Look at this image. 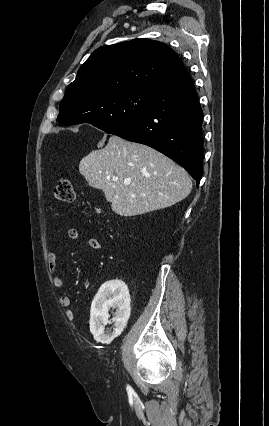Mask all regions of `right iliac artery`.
Wrapping results in <instances>:
<instances>
[{"label": "right iliac artery", "instance_id": "1", "mask_svg": "<svg viewBox=\"0 0 269 426\" xmlns=\"http://www.w3.org/2000/svg\"><path fill=\"white\" fill-rule=\"evenodd\" d=\"M127 391H128V393H131V392H133V389L131 388V386H129V385H127Z\"/></svg>", "mask_w": 269, "mask_h": 426}]
</instances>
